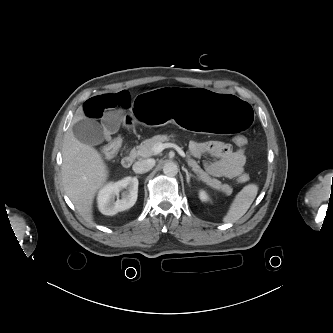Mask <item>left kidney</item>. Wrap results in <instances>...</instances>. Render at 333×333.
<instances>
[{"mask_svg":"<svg viewBox=\"0 0 333 333\" xmlns=\"http://www.w3.org/2000/svg\"><path fill=\"white\" fill-rule=\"evenodd\" d=\"M199 197H200L201 201H203V202H206L209 200L207 193L203 190L199 192Z\"/></svg>","mask_w":333,"mask_h":333,"instance_id":"left-kidney-1","label":"left kidney"}]
</instances>
